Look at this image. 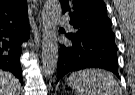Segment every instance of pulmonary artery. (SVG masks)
<instances>
[{"label": "pulmonary artery", "mask_w": 135, "mask_h": 95, "mask_svg": "<svg viewBox=\"0 0 135 95\" xmlns=\"http://www.w3.org/2000/svg\"><path fill=\"white\" fill-rule=\"evenodd\" d=\"M58 22L60 23H67V19L65 16L58 18Z\"/></svg>", "instance_id": "1"}]
</instances>
